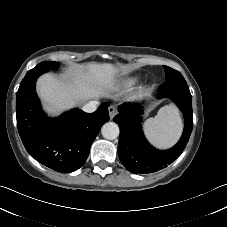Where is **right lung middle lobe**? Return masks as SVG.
Masks as SVG:
<instances>
[{
  "label": "right lung middle lobe",
  "instance_id": "right-lung-middle-lobe-1",
  "mask_svg": "<svg viewBox=\"0 0 227 227\" xmlns=\"http://www.w3.org/2000/svg\"><path fill=\"white\" fill-rule=\"evenodd\" d=\"M58 66H59L58 63L54 61H45L36 65V67L28 71V73L37 72V71L46 72L47 70H51V69L55 70L58 68Z\"/></svg>",
  "mask_w": 227,
  "mask_h": 227
}]
</instances>
